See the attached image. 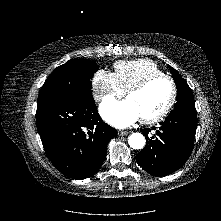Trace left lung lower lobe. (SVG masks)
Returning a JSON list of instances; mask_svg holds the SVG:
<instances>
[{
	"mask_svg": "<svg viewBox=\"0 0 221 221\" xmlns=\"http://www.w3.org/2000/svg\"><path fill=\"white\" fill-rule=\"evenodd\" d=\"M155 134L148 136L150 129H143L147 142L137 154L138 164L154 176H165L181 168L193 149L197 128L196 111L171 112ZM152 130V129H151Z\"/></svg>",
	"mask_w": 221,
	"mask_h": 221,
	"instance_id": "0a47b994",
	"label": "left lung lower lobe"
}]
</instances>
